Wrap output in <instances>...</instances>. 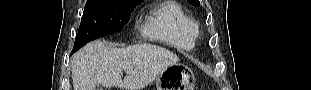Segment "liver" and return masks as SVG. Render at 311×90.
<instances>
[{
  "label": "liver",
  "mask_w": 311,
  "mask_h": 90,
  "mask_svg": "<svg viewBox=\"0 0 311 90\" xmlns=\"http://www.w3.org/2000/svg\"><path fill=\"white\" fill-rule=\"evenodd\" d=\"M178 61L173 52L152 44L110 48L100 41L91 42L71 60L73 88L95 90L101 85L141 90ZM122 71L126 72L124 80Z\"/></svg>",
  "instance_id": "1"
}]
</instances>
